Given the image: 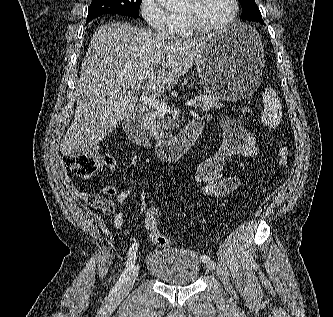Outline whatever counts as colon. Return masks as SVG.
Masks as SVG:
<instances>
[{
	"mask_svg": "<svg viewBox=\"0 0 333 317\" xmlns=\"http://www.w3.org/2000/svg\"><path fill=\"white\" fill-rule=\"evenodd\" d=\"M241 112L248 115L251 114L252 109L248 106H244L241 108ZM288 158V148L281 144L278 149V162L282 168L287 167ZM101 162L102 157L96 148L84 153L68 155L65 157V163L71 172L83 179H89L94 176L100 168ZM269 189L270 186H265L262 188L261 192L265 193ZM162 212V208L159 205L149 207L144 215V223L152 243L160 248H169L172 244L171 239L158 231V224L162 217Z\"/></svg>",
	"mask_w": 333,
	"mask_h": 317,
	"instance_id": "obj_1",
	"label": "colon"
}]
</instances>
